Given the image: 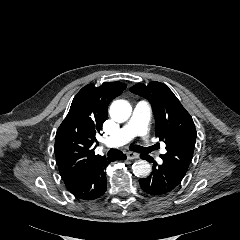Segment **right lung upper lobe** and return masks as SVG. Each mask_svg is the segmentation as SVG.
<instances>
[{"instance_id":"right-lung-upper-lobe-1","label":"right lung upper lobe","mask_w":240,"mask_h":240,"mask_svg":"<svg viewBox=\"0 0 240 240\" xmlns=\"http://www.w3.org/2000/svg\"><path fill=\"white\" fill-rule=\"evenodd\" d=\"M125 88L120 82L104 83L99 88L89 84L74 97L56 132L54 146L56 163L68 189L106 158L94 153L98 145L96 136L107 119L109 103Z\"/></svg>"}]
</instances>
